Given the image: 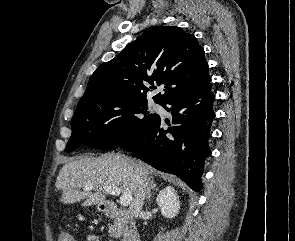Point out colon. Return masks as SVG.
<instances>
[{
    "instance_id": "colon-1",
    "label": "colon",
    "mask_w": 295,
    "mask_h": 241,
    "mask_svg": "<svg viewBox=\"0 0 295 241\" xmlns=\"http://www.w3.org/2000/svg\"><path fill=\"white\" fill-rule=\"evenodd\" d=\"M59 241H74V238L71 233L64 231L60 234Z\"/></svg>"
}]
</instances>
